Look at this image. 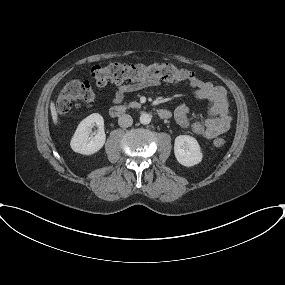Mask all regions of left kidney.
I'll return each mask as SVG.
<instances>
[{
    "instance_id": "obj_1",
    "label": "left kidney",
    "mask_w": 285,
    "mask_h": 285,
    "mask_svg": "<svg viewBox=\"0 0 285 285\" xmlns=\"http://www.w3.org/2000/svg\"><path fill=\"white\" fill-rule=\"evenodd\" d=\"M174 154L177 161L186 167L199 164L203 154L197 140L189 135H179L175 139Z\"/></svg>"
}]
</instances>
